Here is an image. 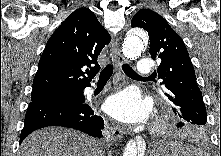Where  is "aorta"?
Returning <instances> with one entry per match:
<instances>
[{
  "mask_svg": "<svg viewBox=\"0 0 221 156\" xmlns=\"http://www.w3.org/2000/svg\"><path fill=\"white\" fill-rule=\"evenodd\" d=\"M148 38L145 31L141 29H131L128 31L122 51L125 57L135 59L141 55L147 44ZM145 143L135 139L130 140L124 149L123 156H144Z\"/></svg>",
  "mask_w": 221,
  "mask_h": 156,
  "instance_id": "1",
  "label": "aorta"
}]
</instances>
